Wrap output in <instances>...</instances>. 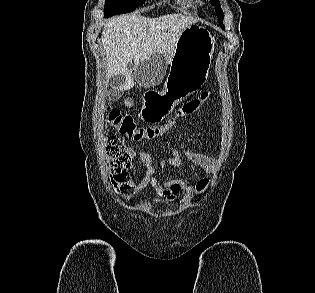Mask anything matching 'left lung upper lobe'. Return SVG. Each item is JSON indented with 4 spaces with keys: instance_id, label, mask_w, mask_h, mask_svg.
<instances>
[{
    "instance_id": "5c2ea615",
    "label": "left lung upper lobe",
    "mask_w": 315,
    "mask_h": 293,
    "mask_svg": "<svg viewBox=\"0 0 315 293\" xmlns=\"http://www.w3.org/2000/svg\"><path fill=\"white\" fill-rule=\"evenodd\" d=\"M212 5H215V11L217 13V17L219 18V24L222 28H225L223 25V11L220 6V2L217 0L210 1Z\"/></svg>"
}]
</instances>
